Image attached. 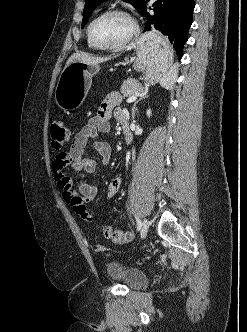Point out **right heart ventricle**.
Masks as SVG:
<instances>
[{
	"label": "right heart ventricle",
	"instance_id": "e07e8e85",
	"mask_svg": "<svg viewBox=\"0 0 247 332\" xmlns=\"http://www.w3.org/2000/svg\"><path fill=\"white\" fill-rule=\"evenodd\" d=\"M87 42H88V45H89L90 48H96V47L91 43V41L89 40L88 35H87Z\"/></svg>",
	"mask_w": 247,
	"mask_h": 332
}]
</instances>
